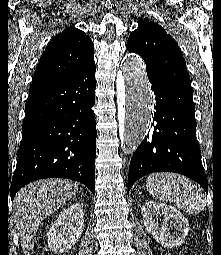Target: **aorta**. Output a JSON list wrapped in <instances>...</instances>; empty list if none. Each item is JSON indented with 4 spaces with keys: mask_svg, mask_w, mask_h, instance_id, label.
Returning a JSON list of instances; mask_svg holds the SVG:
<instances>
[{
    "mask_svg": "<svg viewBox=\"0 0 221 255\" xmlns=\"http://www.w3.org/2000/svg\"><path fill=\"white\" fill-rule=\"evenodd\" d=\"M117 79L118 103L122 108L121 140L124 150L133 154L146 136L152 120V98L142 59L125 58Z\"/></svg>",
    "mask_w": 221,
    "mask_h": 255,
    "instance_id": "aorta-1",
    "label": "aorta"
}]
</instances>
